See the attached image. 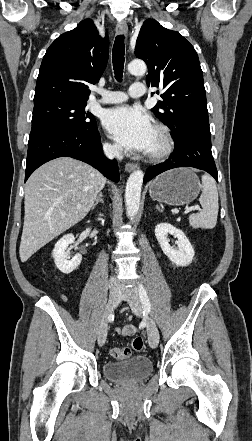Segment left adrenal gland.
I'll return each instance as SVG.
<instances>
[{"mask_svg": "<svg viewBox=\"0 0 252 441\" xmlns=\"http://www.w3.org/2000/svg\"><path fill=\"white\" fill-rule=\"evenodd\" d=\"M156 209L160 212H162V210L160 209V207L158 205H156Z\"/></svg>", "mask_w": 252, "mask_h": 441, "instance_id": "left-adrenal-gland-1", "label": "left adrenal gland"}]
</instances>
